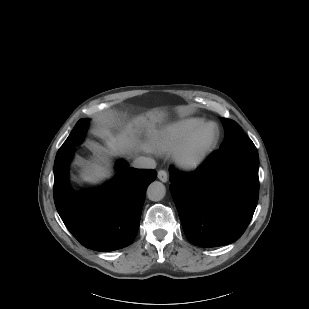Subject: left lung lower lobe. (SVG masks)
<instances>
[{
  "instance_id": "obj_1",
  "label": "left lung lower lobe",
  "mask_w": 309,
  "mask_h": 309,
  "mask_svg": "<svg viewBox=\"0 0 309 309\" xmlns=\"http://www.w3.org/2000/svg\"><path fill=\"white\" fill-rule=\"evenodd\" d=\"M255 145L218 150L195 172L170 169L171 192L190 242L218 247L239 239L258 202Z\"/></svg>"
}]
</instances>
